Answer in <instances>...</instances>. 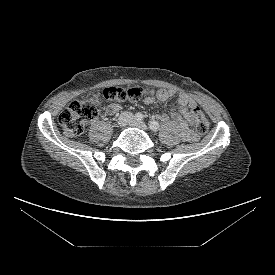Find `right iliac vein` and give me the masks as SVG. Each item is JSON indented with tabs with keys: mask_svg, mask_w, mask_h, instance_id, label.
<instances>
[{
	"mask_svg": "<svg viewBox=\"0 0 275 275\" xmlns=\"http://www.w3.org/2000/svg\"><path fill=\"white\" fill-rule=\"evenodd\" d=\"M128 120H129L128 116H122L119 118L118 124L120 126H125L127 124Z\"/></svg>",
	"mask_w": 275,
	"mask_h": 275,
	"instance_id": "obj_1",
	"label": "right iliac vein"
}]
</instances>
